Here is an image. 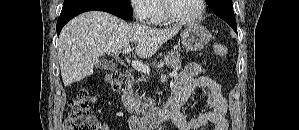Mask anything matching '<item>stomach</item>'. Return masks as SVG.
I'll return each instance as SVG.
<instances>
[{"label": "stomach", "instance_id": "stomach-1", "mask_svg": "<svg viewBox=\"0 0 299 130\" xmlns=\"http://www.w3.org/2000/svg\"><path fill=\"white\" fill-rule=\"evenodd\" d=\"M181 41L186 51H199L203 49L211 39L210 32L199 24H191L181 32Z\"/></svg>", "mask_w": 299, "mask_h": 130}]
</instances>
